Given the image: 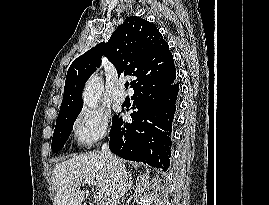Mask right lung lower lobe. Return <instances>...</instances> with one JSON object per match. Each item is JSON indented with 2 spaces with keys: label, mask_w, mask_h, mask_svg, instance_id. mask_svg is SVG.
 I'll return each mask as SVG.
<instances>
[{
  "label": "right lung lower lobe",
  "mask_w": 269,
  "mask_h": 205,
  "mask_svg": "<svg viewBox=\"0 0 269 205\" xmlns=\"http://www.w3.org/2000/svg\"><path fill=\"white\" fill-rule=\"evenodd\" d=\"M179 84L142 89L132 99V122L116 117L110 131V150L127 160L141 161L166 171L170 165L171 132Z\"/></svg>",
  "instance_id": "right-lung-lower-lobe-1"
}]
</instances>
